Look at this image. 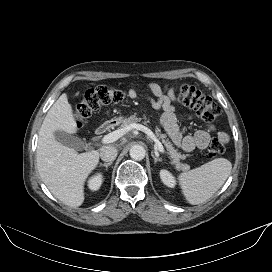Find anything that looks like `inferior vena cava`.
Instances as JSON below:
<instances>
[{"mask_svg": "<svg viewBox=\"0 0 272 272\" xmlns=\"http://www.w3.org/2000/svg\"><path fill=\"white\" fill-rule=\"evenodd\" d=\"M118 151L114 146H103L100 149V157L105 162H112L117 157Z\"/></svg>", "mask_w": 272, "mask_h": 272, "instance_id": "obj_1", "label": "inferior vena cava"}]
</instances>
